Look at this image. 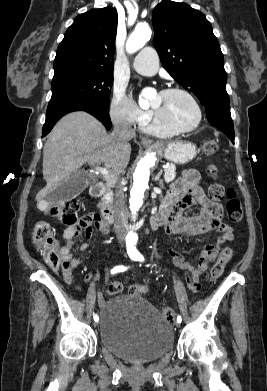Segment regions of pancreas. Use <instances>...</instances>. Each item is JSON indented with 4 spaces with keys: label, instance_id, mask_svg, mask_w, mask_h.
Listing matches in <instances>:
<instances>
[{
    "label": "pancreas",
    "instance_id": "pancreas-1",
    "mask_svg": "<svg viewBox=\"0 0 267 391\" xmlns=\"http://www.w3.org/2000/svg\"><path fill=\"white\" fill-rule=\"evenodd\" d=\"M176 167L175 165L171 164L168 166V168L165 169L164 179L165 182L169 183L175 179L176 176ZM109 186H112V182L109 183ZM104 201L106 204L111 205L113 202V192L111 189H108L107 193L104 196Z\"/></svg>",
    "mask_w": 267,
    "mask_h": 391
}]
</instances>
